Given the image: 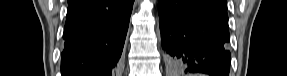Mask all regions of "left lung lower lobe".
I'll return each instance as SVG.
<instances>
[{"label":"left lung lower lobe","mask_w":287,"mask_h":76,"mask_svg":"<svg viewBox=\"0 0 287 76\" xmlns=\"http://www.w3.org/2000/svg\"><path fill=\"white\" fill-rule=\"evenodd\" d=\"M161 43L171 65L185 72L228 76L230 52L226 7L212 0H159Z\"/></svg>","instance_id":"left-lung-lower-lobe-1"}]
</instances>
